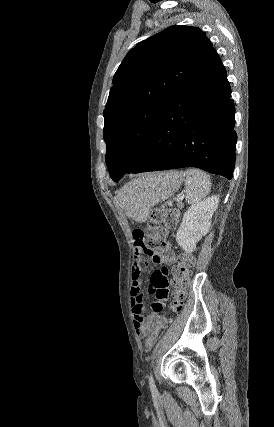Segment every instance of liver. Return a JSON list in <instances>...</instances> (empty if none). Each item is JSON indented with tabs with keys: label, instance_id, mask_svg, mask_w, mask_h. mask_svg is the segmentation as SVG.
Here are the masks:
<instances>
[{
	"label": "liver",
	"instance_id": "1",
	"mask_svg": "<svg viewBox=\"0 0 274 427\" xmlns=\"http://www.w3.org/2000/svg\"><path fill=\"white\" fill-rule=\"evenodd\" d=\"M122 192H118V200L120 202V206L121 208H124V210H126L125 206H123L122 204V196H121Z\"/></svg>",
	"mask_w": 274,
	"mask_h": 427
}]
</instances>
